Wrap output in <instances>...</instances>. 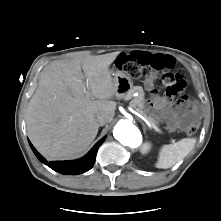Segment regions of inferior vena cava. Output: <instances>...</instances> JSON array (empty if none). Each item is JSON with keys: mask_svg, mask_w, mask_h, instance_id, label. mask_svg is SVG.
Listing matches in <instances>:
<instances>
[{"mask_svg": "<svg viewBox=\"0 0 221 221\" xmlns=\"http://www.w3.org/2000/svg\"><path fill=\"white\" fill-rule=\"evenodd\" d=\"M96 121L99 126H104L106 123H108V119L104 115H101V114H98L96 116Z\"/></svg>", "mask_w": 221, "mask_h": 221, "instance_id": "1", "label": "inferior vena cava"}]
</instances>
